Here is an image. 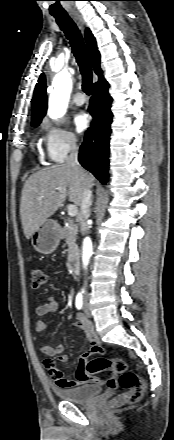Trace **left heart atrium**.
Returning <instances> with one entry per match:
<instances>
[{
	"label": "left heart atrium",
	"instance_id": "left-heart-atrium-1",
	"mask_svg": "<svg viewBox=\"0 0 174 440\" xmlns=\"http://www.w3.org/2000/svg\"><path fill=\"white\" fill-rule=\"evenodd\" d=\"M73 122L76 131L83 132L89 125V116L84 112H80L75 115Z\"/></svg>",
	"mask_w": 174,
	"mask_h": 440
}]
</instances>
